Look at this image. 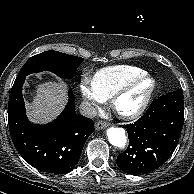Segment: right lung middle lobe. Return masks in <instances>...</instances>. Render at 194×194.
I'll list each match as a JSON object with an SVG mask.
<instances>
[{
  "label": "right lung middle lobe",
  "mask_w": 194,
  "mask_h": 194,
  "mask_svg": "<svg viewBox=\"0 0 194 194\" xmlns=\"http://www.w3.org/2000/svg\"><path fill=\"white\" fill-rule=\"evenodd\" d=\"M83 58L68 55L58 51H45L31 57L21 68L17 77L44 70L51 71L61 77H71Z\"/></svg>",
  "instance_id": "obj_1"
}]
</instances>
